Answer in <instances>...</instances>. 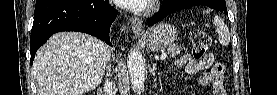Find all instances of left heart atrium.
Segmentation results:
<instances>
[{"label": "left heart atrium", "instance_id": "left-heart-atrium-1", "mask_svg": "<svg viewBox=\"0 0 277 95\" xmlns=\"http://www.w3.org/2000/svg\"><path fill=\"white\" fill-rule=\"evenodd\" d=\"M149 3L150 0H118L121 7L133 11L143 10Z\"/></svg>", "mask_w": 277, "mask_h": 95}]
</instances>
